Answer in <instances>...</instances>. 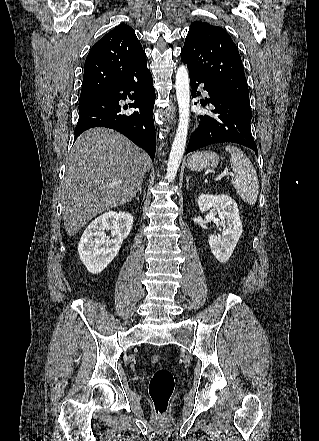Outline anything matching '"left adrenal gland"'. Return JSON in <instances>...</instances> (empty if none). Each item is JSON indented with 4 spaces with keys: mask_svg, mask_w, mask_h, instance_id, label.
I'll return each mask as SVG.
<instances>
[{
    "mask_svg": "<svg viewBox=\"0 0 319 441\" xmlns=\"http://www.w3.org/2000/svg\"><path fill=\"white\" fill-rule=\"evenodd\" d=\"M189 180H190V177L186 176V182H187L186 188H187V190H188V187H189Z\"/></svg>",
    "mask_w": 319,
    "mask_h": 441,
    "instance_id": "a2214340",
    "label": "left adrenal gland"
}]
</instances>
